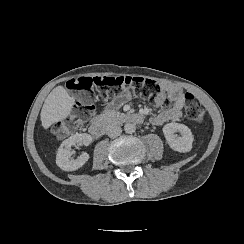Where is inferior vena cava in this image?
<instances>
[{
	"label": "inferior vena cava",
	"instance_id": "1",
	"mask_svg": "<svg viewBox=\"0 0 244 244\" xmlns=\"http://www.w3.org/2000/svg\"><path fill=\"white\" fill-rule=\"evenodd\" d=\"M121 132H122L121 127H119L117 125H113L108 130V136L110 138H116V137H118L121 134Z\"/></svg>",
	"mask_w": 244,
	"mask_h": 244
}]
</instances>
